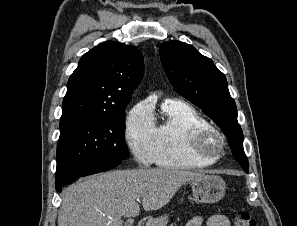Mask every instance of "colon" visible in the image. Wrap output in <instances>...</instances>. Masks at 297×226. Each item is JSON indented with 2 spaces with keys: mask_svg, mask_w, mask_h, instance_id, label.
<instances>
[{
  "mask_svg": "<svg viewBox=\"0 0 297 226\" xmlns=\"http://www.w3.org/2000/svg\"><path fill=\"white\" fill-rule=\"evenodd\" d=\"M235 226H256V221L245 212H240L235 217Z\"/></svg>",
  "mask_w": 297,
  "mask_h": 226,
  "instance_id": "obj_1",
  "label": "colon"
}]
</instances>
